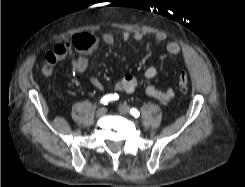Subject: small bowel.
<instances>
[{
	"label": "small bowel",
	"instance_id": "obj_1",
	"mask_svg": "<svg viewBox=\"0 0 245 187\" xmlns=\"http://www.w3.org/2000/svg\"><path fill=\"white\" fill-rule=\"evenodd\" d=\"M152 38L158 43H164L167 36L163 32H156L152 35ZM121 39L123 42H128L133 40L135 42H141L145 39L144 33L140 31L128 32L124 31L121 34ZM101 41L105 44H112L115 41V37L112 33H105L101 36ZM62 42L56 43L55 47L62 45ZM166 51L168 54L173 56H181L184 61L190 65L194 62V53L187 47L181 45L178 42H168L166 44ZM71 67L76 72H83L88 68L89 61L86 55L82 53H77L71 59ZM157 75V68L154 66H149L144 73V77L147 80H152ZM91 84L100 89H104V85L96 78L91 79ZM138 87V81L135 76L131 74H126L121 80L116 82L114 88L118 92L132 93ZM146 93L148 96L160 100L162 102L170 101L174 97V90L172 88L163 89L157 84H149L146 87Z\"/></svg>",
	"mask_w": 245,
	"mask_h": 187
}]
</instances>
